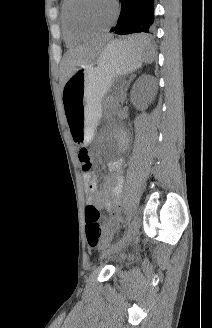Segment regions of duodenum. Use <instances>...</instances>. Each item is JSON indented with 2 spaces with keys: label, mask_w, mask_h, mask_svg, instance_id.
<instances>
[{
  "label": "duodenum",
  "mask_w": 212,
  "mask_h": 328,
  "mask_svg": "<svg viewBox=\"0 0 212 328\" xmlns=\"http://www.w3.org/2000/svg\"><path fill=\"white\" fill-rule=\"evenodd\" d=\"M117 138H118V140H119V142H120L121 144H124V143H125V139H124V137H123L121 134H118V135H117Z\"/></svg>",
  "instance_id": "obj_1"
}]
</instances>
